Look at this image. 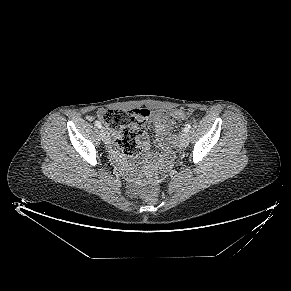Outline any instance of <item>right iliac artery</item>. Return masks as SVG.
I'll list each match as a JSON object with an SVG mask.
<instances>
[{
    "label": "right iliac artery",
    "mask_w": 291,
    "mask_h": 291,
    "mask_svg": "<svg viewBox=\"0 0 291 291\" xmlns=\"http://www.w3.org/2000/svg\"><path fill=\"white\" fill-rule=\"evenodd\" d=\"M95 125L98 127V128H102V125L99 121H95Z\"/></svg>",
    "instance_id": "82829eb1"
}]
</instances>
